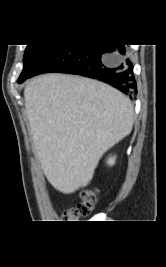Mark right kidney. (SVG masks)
<instances>
[{
	"mask_svg": "<svg viewBox=\"0 0 166 267\" xmlns=\"http://www.w3.org/2000/svg\"><path fill=\"white\" fill-rule=\"evenodd\" d=\"M107 162L109 165H113L115 163V157H110Z\"/></svg>",
	"mask_w": 166,
	"mask_h": 267,
	"instance_id": "1",
	"label": "right kidney"
}]
</instances>
